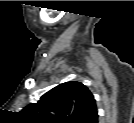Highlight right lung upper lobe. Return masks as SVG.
Segmentation results:
<instances>
[{"label": "right lung upper lobe", "mask_w": 134, "mask_h": 123, "mask_svg": "<svg viewBox=\"0 0 134 123\" xmlns=\"http://www.w3.org/2000/svg\"><path fill=\"white\" fill-rule=\"evenodd\" d=\"M34 123H98L95 99L81 82L62 83L22 111Z\"/></svg>", "instance_id": "1"}]
</instances>
